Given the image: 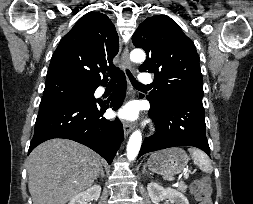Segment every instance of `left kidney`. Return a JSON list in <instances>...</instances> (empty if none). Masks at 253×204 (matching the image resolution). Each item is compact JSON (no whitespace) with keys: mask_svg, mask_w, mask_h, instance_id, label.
<instances>
[{"mask_svg":"<svg viewBox=\"0 0 253 204\" xmlns=\"http://www.w3.org/2000/svg\"><path fill=\"white\" fill-rule=\"evenodd\" d=\"M147 191L154 204H158L164 198H168L172 204H189L188 199L181 192L164 188L153 182L147 185Z\"/></svg>","mask_w":253,"mask_h":204,"instance_id":"5707ae66","label":"left kidney"}]
</instances>
